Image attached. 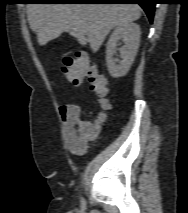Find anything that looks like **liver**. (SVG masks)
I'll list each match as a JSON object with an SVG mask.
<instances>
[{"instance_id": "obj_1", "label": "liver", "mask_w": 188, "mask_h": 213, "mask_svg": "<svg viewBox=\"0 0 188 213\" xmlns=\"http://www.w3.org/2000/svg\"><path fill=\"white\" fill-rule=\"evenodd\" d=\"M27 16L39 45L68 32L97 52L114 27L138 20L141 9L137 4H29Z\"/></svg>"}]
</instances>
